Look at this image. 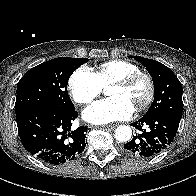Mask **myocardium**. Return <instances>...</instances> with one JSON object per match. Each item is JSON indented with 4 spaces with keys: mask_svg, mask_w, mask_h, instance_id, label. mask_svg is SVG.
I'll return each mask as SVG.
<instances>
[{
    "mask_svg": "<svg viewBox=\"0 0 196 196\" xmlns=\"http://www.w3.org/2000/svg\"><path fill=\"white\" fill-rule=\"evenodd\" d=\"M141 79H143L147 83L148 91H147V95H146L145 99L140 104H138L136 106L137 111L145 110L146 108H148L151 105V103L154 100L156 86H155V81H154L153 77L149 73H146L143 71H138V72L132 73L130 75L121 77L119 79H116L110 83L111 85H117V86H121V87H129Z\"/></svg>",
    "mask_w": 196,
    "mask_h": 196,
    "instance_id": "myocardium-1",
    "label": "myocardium"
}]
</instances>
